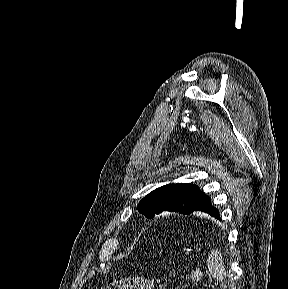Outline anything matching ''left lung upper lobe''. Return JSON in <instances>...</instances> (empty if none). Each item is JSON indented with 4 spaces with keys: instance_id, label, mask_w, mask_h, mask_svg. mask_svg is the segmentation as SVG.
<instances>
[{
    "instance_id": "1",
    "label": "left lung upper lobe",
    "mask_w": 288,
    "mask_h": 289,
    "mask_svg": "<svg viewBox=\"0 0 288 289\" xmlns=\"http://www.w3.org/2000/svg\"><path fill=\"white\" fill-rule=\"evenodd\" d=\"M205 196L197 185L168 184L150 192L139 202L137 209L147 218L163 211L190 214Z\"/></svg>"
}]
</instances>
